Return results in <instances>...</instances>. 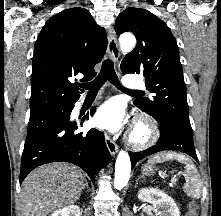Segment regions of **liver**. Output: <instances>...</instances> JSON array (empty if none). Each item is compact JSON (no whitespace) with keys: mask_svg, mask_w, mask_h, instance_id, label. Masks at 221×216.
I'll use <instances>...</instances> for the list:
<instances>
[{"mask_svg":"<svg viewBox=\"0 0 221 216\" xmlns=\"http://www.w3.org/2000/svg\"><path fill=\"white\" fill-rule=\"evenodd\" d=\"M84 181L82 170L68 163L56 162L34 169L22 183V216H47L76 203Z\"/></svg>","mask_w":221,"mask_h":216,"instance_id":"obj_1","label":"liver"}]
</instances>
